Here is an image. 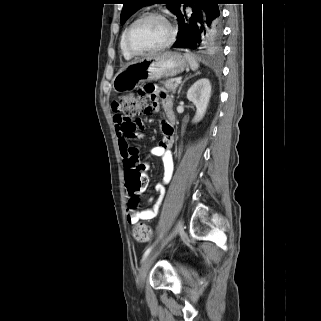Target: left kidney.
I'll return each instance as SVG.
<instances>
[{
	"instance_id": "left-kidney-1",
	"label": "left kidney",
	"mask_w": 321,
	"mask_h": 321,
	"mask_svg": "<svg viewBox=\"0 0 321 321\" xmlns=\"http://www.w3.org/2000/svg\"><path fill=\"white\" fill-rule=\"evenodd\" d=\"M211 95V84L206 78L196 81L187 92V99L196 106V115L193 122L200 121L207 110Z\"/></svg>"
}]
</instances>
